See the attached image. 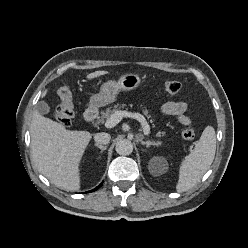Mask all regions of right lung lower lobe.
Instances as JSON below:
<instances>
[{
  "label": "right lung lower lobe",
  "mask_w": 248,
  "mask_h": 248,
  "mask_svg": "<svg viewBox=\"0 0 248 248\" xmlns=\"http://www.w3.org/2000/svg\"><path fill=\"white\" fill-rule=\"evenodd\" d=\"M101 185H102V183H101L99 186H97L94 190H91V191H89V192H92V191L97 190Z\"/></svg>",
  "instance_id": "obj_1"
}]
</instances>
